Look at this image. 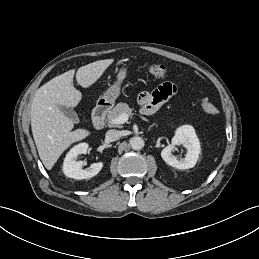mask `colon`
Here are the masks:
<instances>
[{"label": "colon", "instance_id": "colon-1", "mask_svg": "<svg viewBox=\"0 0 259 259\" xmlns=\"http://www.w3.org/2000/svg\"><path fill=\"white\" fill-rule=\"evenodd\" d=\"M148 72L150 75L154 77H163L166 75L167 69L162 64H153L148 67ZM200 107L207 114H210V115L218 114V108L207 99L200 100Z\"/></svg>", "mask_w": 259, "mask_h": 259}]
</instances>
